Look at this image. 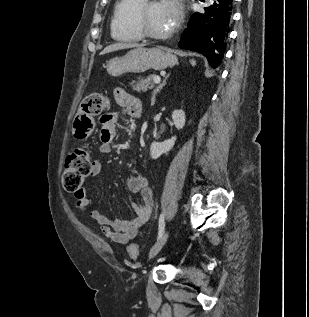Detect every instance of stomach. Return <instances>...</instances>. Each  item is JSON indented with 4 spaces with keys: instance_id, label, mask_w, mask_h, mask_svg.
Masks as SVG:
<instances>
[{
    "instance_id": "stomach-1",
    "label": "stomach",
    "mask_w": 309,
    "mask_h": 317,
    "mask_svg": "<svg viewBox=\"0 0 309 317\" xmlns=\"http://www.w3.org/2000/svg\"><path fill=\"white\" fill-rule=\"evenodd\" d=\"M175 64L176 56L160 47H137L123 56L110 59L106 68L109 75L118 77L125 73H142L149 69L160 71Z\"/></svg>"
}]
</instances>
